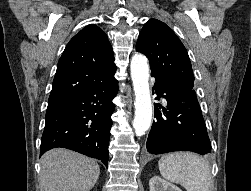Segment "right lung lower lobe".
<instances>
[{"label": "right lung lower lobe", "mask_w": 251, "mask_h": 191, "mask_svg": "<svg viewBox=\"0 0 251 191\" xmlns=\"http://www.w3.org/2000/svg\"><path fill=\"white\" fill-rule=\"evenodd\" d=\"M118 92L113 77L62 103L49 106L41 138L40 156L63 147L101 160L107 167L112 126V99Z\"/></svg>", "instance_id": "obj_1"}]
</instances>
